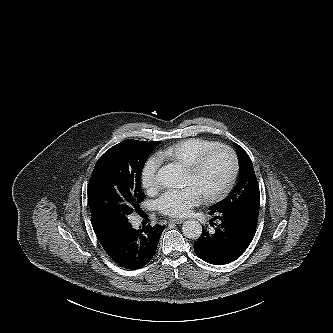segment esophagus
Returning a JSON list of instances; mask_svg holds the SVG:
<instances>
[{
  "label": "esophagus",
  "instance_id": "obj_1",
  "mask_svg": "<svg viewBox=\"0 0 333 333\" xmlns=\"http://www.w3.org/2000/svg\"><path fill=\"white\" fill-rule=\"evenodd\" d=\"M170 223H176V224H181L184 222V219H170Z\"/></svg>",
  "mask_w": 333,
  "mask_h": 333
}]
</instances>
